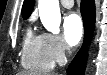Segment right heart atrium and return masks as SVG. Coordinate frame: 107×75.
<instances>
[{"instance_id":"obj_1","label":"right heart atrium","mask_w":107,"mask_h":75,"mask_svg":"<svg viewBox=\"0 0 107 75\" xmlns=\"http://www.w3.org/2000/svg\"><path fill=\"white\" fill-rule=\"evenodd\" d=\"M47 51L54 64H62L69 53V48L60 35L43 34Z\"/></svg>"}]
</instances>
